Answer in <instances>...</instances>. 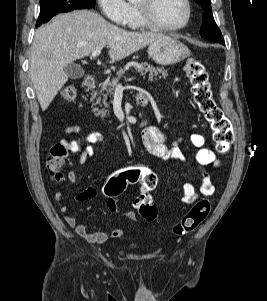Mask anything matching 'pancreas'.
<instances>
[{"label":"pancreas","instance_id":"pancreas-1","mask_svg":"<svg viewBox=\"0 0 267 301\" xmlns=\"http://www.w3.org/2000/svg\"><path fill=\"white\" fill-rule=\"evenodd\" d=\"M131 66L134 67L136 69V71L141 72L142 75H145L146 73H149V81H152L153 77H155V79H156L157 76L159 78H161V77L165 78V77L168 76V73H167L166 69L160 68V67H154L153 65H150L147 62H143V63L131 62V63H128L126 65V67H124V69H120L117 72V76L115 78H113L111 81L106 80L105 82L101 83L99 85L100 91H94L92 96H93V98L98 96V99L96 100L95 103H93V106L100 105L101 103H103L105 105V107H108V104H107L108 96L113 94V92L115 91V87L117 85L118 80L125 73L126 68L131 67ZM93 112H95L96 114L101 115V118H104L106 116L107 112L109 113V111L104 110V109H99L98 107H95L93 109Z\"/></svg>","mask_w":267,"mask_h":301}]
</instances>
